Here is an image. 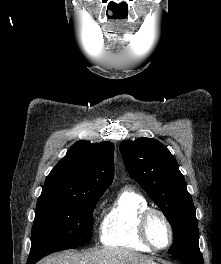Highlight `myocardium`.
Instances as JSON below:
<instances>
[{"label":"myocardium","instance_id":"obj_1","mask_svg":"<svg viewBox=\"0 0 221 264\" xmlns=\"http://www.w3.org/2000/svg\"><path fill=\"white\" fill-rule=\"evenodd\" d=\"M158 215L166 224L168 231H169V240L166 245L164 246H157L151 239L149 234V223L152 216ZM138 234L141 239V241L147 245L150 249L155 251H161L164 249H167L171 246L174 240V230L173 226L169 220V218L166 216V214L157 208L148 207L144 209L138 219Z\"/></svg>","mask_w":221,"mask_h":264}]
</instances>
